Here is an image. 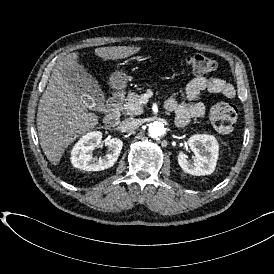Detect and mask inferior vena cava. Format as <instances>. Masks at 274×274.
<instances>
[{"instance_id": "1", "label": "inferior vena cava", "mask_w": 274, "mask_h": 274, "mask_svg": "<svg viewBox=\"0 0 274 274\" xmlns=\"http://www.w3.org/2000/svg\"><path fill=\"white\" fill-rule=\"evenodd\" d=\"M140 121L135 118H128L120 123V129L122 132L135 131L140 126Z\"/></svg>"}]
</instances>
